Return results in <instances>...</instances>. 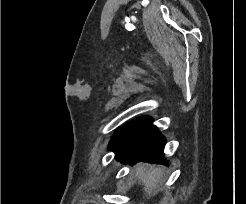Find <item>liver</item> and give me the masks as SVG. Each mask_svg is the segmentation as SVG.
<instances>
[{
	"mask_svg": "<svg viewBox=\"0 0 246 204\" xmlns=\"http://www.w3.org/2000/svg\"><path fill=\"white\" fill-rule=\"evenodd\" d=\"M135 175L144 186V192L150 197L159 189L163 178V169L155 167L147 170L146 164L139 163L135 169Z\"/></svg>",
	"mask_w": 246,
	"mask_h": 204,
	"instance_id": "1",
	"label": "liver"
}]
</instances>
